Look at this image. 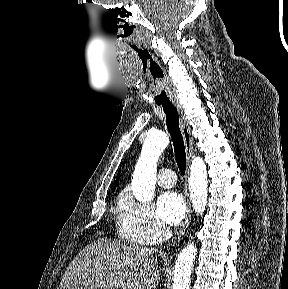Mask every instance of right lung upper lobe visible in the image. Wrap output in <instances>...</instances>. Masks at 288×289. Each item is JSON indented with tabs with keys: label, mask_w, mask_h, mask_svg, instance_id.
Masks as SVG:
<instances>
[{
	"label": "right lung upper lobe",
	"mask_w": 288,
	"mask_h": 289,
	"mask_svg": "<svg viewBox=\"0 0 288 289\" xmlns=\"http://www.w3.org/2000/svg\"><path fill=\"white\" fill-rule=\"evenodd\" d=\"M119 176H120V170H119V173H118V175H117V179H116V181H115V184H114V187H113V191H114L115 188H116V185H117V183H118Z\"/></svg>",
	"instance_id": "1"
}]
</instances>
